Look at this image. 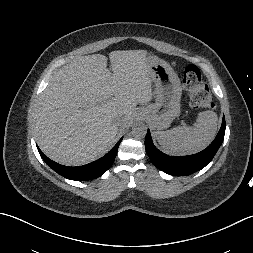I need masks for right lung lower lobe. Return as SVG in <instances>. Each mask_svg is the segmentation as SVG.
<instances>
[{"instance_id": "1", "label": "right lung lower lobe", "mask_w": 253, "mask_h": 253, "mask_svg": "<svg viewBox=\"0 0 253 253\" xmlns=\"http://www.w3.org/2000/svg\"><path fill=\"white\" fill-rule=\"evenodd\" d=\"M121 141H122V138L105 156H103L99 160H96L92 163H89L83 166H78V167H69V166L60 165L50 160L47 156L44 155V153H42V151L38 147L37 148L43 160L55 172L71 180L86 181V180L98 178L112 166Z\"/></svg>"}]
</instances>
